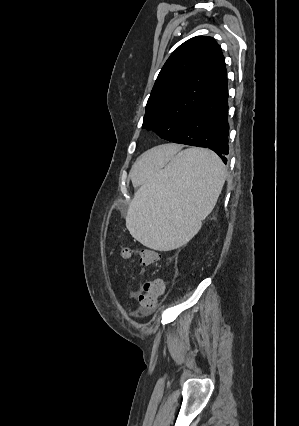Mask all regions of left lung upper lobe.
<instances>
[{
  "label": "left lung upper lobe",
  "instance_id": "obj_1",
  "mask_svg": "<svg viewBox=\"0 0 299 426\" xmlns=\"http://www.w3.org/2000/svg\"><path fill=\"white\" fill-rule=\"evenodd\" d=\"M221 47L212 37L181 44L161 69L146 105L142 128L168 141L226 79Z\"/></svg>",
  "mask_w": 299,
  "mask_h": 426
}]
</instances>
